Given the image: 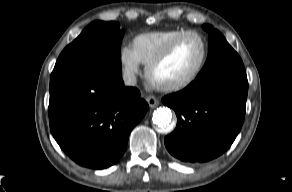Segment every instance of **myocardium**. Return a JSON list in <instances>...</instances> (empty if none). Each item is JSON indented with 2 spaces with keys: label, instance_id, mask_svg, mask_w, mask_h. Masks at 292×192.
I'll return each mask as SVG.
<instances>
[{
  "label": "myocardium",
  "instance_id": "1",
  "mask_svg": "<svg viewBox=\"0 0 292 192\" xmlns=\"http://www.w3.org/2000/svg\"><path fill=\"white\" fill-rule=\"evenodd\" d=\"M188 36H196L200 39L203 47V53L201 60L195 70L185 79L180 81L170 83V84H160L157 83L153 77L154 69L160 65L163 61H165L175 50L177 45L186 37ZM209 57V45L206 38L198 31L195 30H187L182 34L175 37L158 55H156L147 65L145 68V75L147 80L155 86L157 89L165 92H174L182 90L188 86H190L203 72Z\"/></svg>",
  "mask_w": 292,
  "mask_h": 192
}]
</instances>
